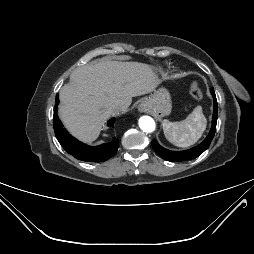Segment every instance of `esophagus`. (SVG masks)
Listing matches in <instances>:
<instances>
[{
	"instance_id": "1",
	"label": "esophagus",
	"mask_w": 254,
	"mask_h": 254,
	"mask_svg": "<svg viewBox=\"0 0 254 254\" xmlns=\"http://www.w3.org/2000/svg\"><path fill=\"white\" fill-rule=\"evenodd\" d=\"M140 112H146L147 111V105L145 103H141L138 107Z\"/></svg>"
}]
</instances>
